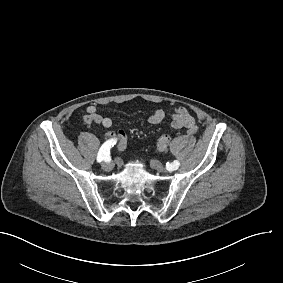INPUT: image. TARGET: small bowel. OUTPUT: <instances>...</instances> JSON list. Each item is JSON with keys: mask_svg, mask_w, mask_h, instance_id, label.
<instances>
[{"mask_svg": "<svg viewBox=\"0 0 283 283\" xmlns=\"http://www.w3.org/2000/svg\"><path fill=\"white\" fill-rule=\"evenodd\" d=\"M167 116L165 109L159 108L155 110L148 118V122L152 125H158L162 123ZM170 126L174 129L185 128L189 134H195L197 132V124L194 117L189 113L188 109L185 107L175 108L171 114ZM83 120L87 124H98L104 128L112 127V119L110 117L104 116L99 111L96 105H89L86 108V114L83 117ZM117 135L118 137L123 138V133L121 131L114 132L110 131L108 133L109 137ZM124 143L121 142L120 149H123Z\"/></svg>", "mask_w": 283, "mask_h": 283, "instance_id": "1", "label": "small bowel"}]
</instances>
